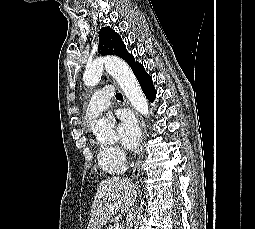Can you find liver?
<instances>
[{"instance_id": "6515ba94", "label": "liver", "mask_w": 255, "mask_h": 229, "mask_svg": "<svg viewBox=\"0 0 255 229\" xmlns=\"http://www.w3.org/2000/svg\"><path fill=\"white\" fill-rule=\"evenodd\" d=\"M136 195V187L129 179L113 177L103 180L91 206L87 229H101L119 210L128 212Z\"/></svg>"}]
</instances>
